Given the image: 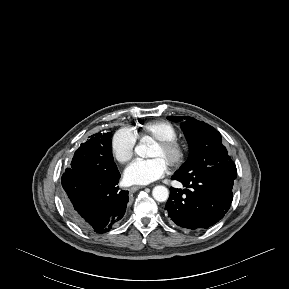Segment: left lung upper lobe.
<instances>
[{
	"label": "left lung upper lobe",
	"mask_w": 289,
	"mask_h": 289,
	"mask_svg": "<svg viewBox=\"0 0 289 289\" xmlns=\"http://www.w3.org/2000/svg\"><path fill=\"white\" fill-rule=\"evenodd\" d=\"M168 120L180 122L187 138L190 155L175 173L185 180L215 178L233 186L237 176L234 162L222 145L221 134L212 126L192 117L169 116Z\"/></svg>",
	"instance_id": "obj_1"
}]
</instances>
